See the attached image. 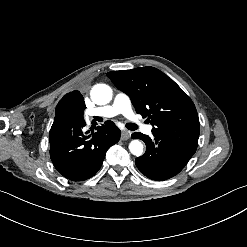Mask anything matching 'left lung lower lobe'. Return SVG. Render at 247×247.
Returning a JSON list of instances; mask_svg holds the SVG:
<instances>
[{
  "mask_svg": "<svg viewBox=\"0 0 247 247\" xmlns=\"http://www.w3.org/2000/svg\"><path fill=\"white\" fill-rule=\"evenodd\" d=\"M133 139H141L146 144V152L136 158L135 163L142 174L156 181H163L178 174L192 157L193 153L174 143L160 140L153 141L147 135L136 132Z\"/></svg>",
  "mask_w": 247,
  "mask_h": 247,
  "instance_id": "left-lung-lower-lobe-1",
  "label": "left lung lower lobe"
}]
</instances>
